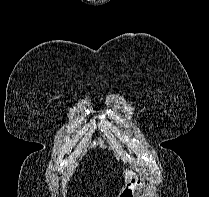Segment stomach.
Listing matches in <instances>:
<instances>
[{"mask_svg": "<svg viewBox=\"0 0 209 197\" xmlns=\"http://www.w3.org/2000/svg\"><path fill=\"white\" fill-rule=\"evenodd\" d=\"M145 188V180L140 176L130 178L125 186L121 189L118 197H143Z\"/></svg>", "mask_w": 209, "mask_h": 197, "instance_id": "0dacf381", "label": "stomach"}]
</instances>
